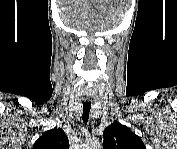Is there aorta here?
Wrapping results in <instances>:
<instances>
[{
  "label": "aorta",
  "instance_id": "obj_1",
  "mask_svg": "<svg viewBox=\"0 0 177 149\" xmlns=\"http://www.w3.org/2000/svg\"><path fill=\"white\" fill-rule=\"evenodd\" d=\"M100 144L97 142H93L89 145H86V149H100Z\"/></svg>",
  "mask_w": 177,
  "mask_h": 149
}]
</instances>
